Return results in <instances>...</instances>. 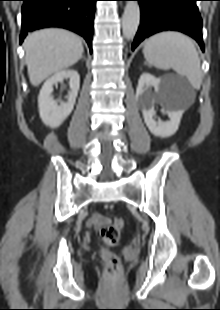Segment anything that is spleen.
Masks as SVG:
<instances>
[{
    "mask_svg": "<svg viewBox=\"0 0 220 310\" xmlns=\"http://www.w3.org/2000/svg\"><path fill=\"white\" fill-rule=\"evenodd\" d=\"M143 54L149 65L158 69H173L185 76L194 89L201 86V67L193 41L186 35L165 31L150 37Z\"/></svg>",
    "mask_w": 220,
    "mask_h": 310,
    "instance_id": "spleen-1",
    "label": "spleen"
}]
</instances>
